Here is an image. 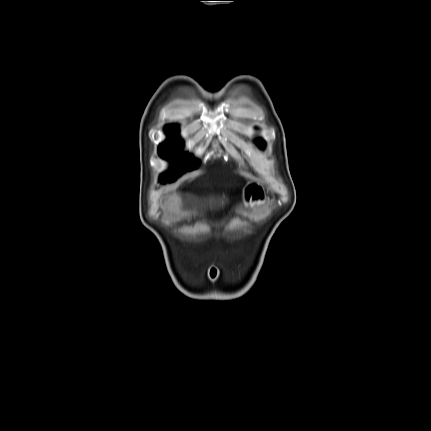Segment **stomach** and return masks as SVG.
I'll list each match as a JSON object with an SVG mask.
<instances>
[{"label":"stomach","mask_w":431,"mask_h":431,"mask_svg":"<svg viewBox=\"0 0 431 431\" xmlns=\"http://www.w3.org/2000/svg\"><path fill=\"white\" fill-rule=\"evenodd\" d=\"M244 200L250 206L260 205L266 200V193L263 186L251 182L246 185L243 192Z\"/></svg>","instance_id":"obj_1"}]
</instances>
